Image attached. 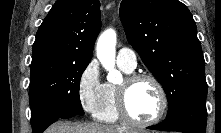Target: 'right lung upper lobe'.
<instances>
[{
	"instance_id": "1",
	"label": "right lung upper lobe",
	"mask_w": 221,
	"mask_h": 133,
	"mask_svg": "<svg viewBox=\"0 0 221 133\" xmlns=\"http://www.w3.org/2000/svg\"><path fill=\"white\" fill-rule=\"evenodd\" d=\"M100 27L99 0H57L37 31L31 74L90 62Z\"/></svg>"
}]
</instances>
